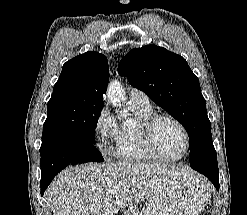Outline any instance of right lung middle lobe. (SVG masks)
Segmentation results:
<instances>
[{"mask_svg": "<svg viewBox=\"0 0 247 215\" xmlns=\"http://www.w3.org/2000/svg\"><path fill=\"white\" fill-rule=\"evenodd\" d=\"M102 107V102L75 96L70 90L53 92L43 125L42 144L66 136L95 144L94 131Z\"/></svg>", "mask_w": 247, "mask_h": 215, "instance_id": "dd1d6c3e", "label": "right lung middle lobe"}]
</instances>
